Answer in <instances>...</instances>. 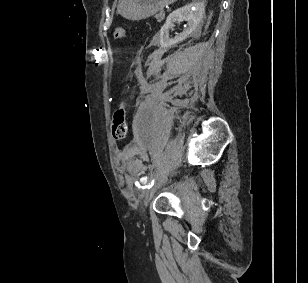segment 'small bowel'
I'll list each match as a JSON object with an SVG mask.
<instances>
[{
  "label": "small bowel",
  "mask_w": 308,
  "mask_h": 283,
  "mask_svg": "<svg viewBox=\"0 0 308 283\" xmlns=\"http://www.w3.org/2000/svg\"><path fill=\"white\" fill-rule=\"evenodd\" d=\"M119 169L125 171V165L122 162L119 163Z\"/></svg>",
  "instance_id": "small-bowel-1"
}]
</instances>
